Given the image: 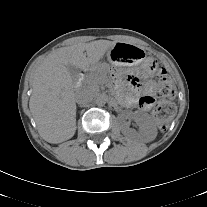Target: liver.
<instances>
[{
  "instance_id": "obj_1",
  "label": "liver",
  "mask_w": 207,
  "mask_h": 207,
  "mask_svg": "<svg viewBox=\"0 0 207 207\" xmlns=\"http://www.w3.org/2000/svg\"><path fill=\"white\" fill-rule=\"evenodd\" d=\"M115 43L109 40L79 42L56 50L37 66L31 76L29 108L45 141L61 143L76 132V89L67 66L88 69Z\"/></svg>"
}]
</instances>
